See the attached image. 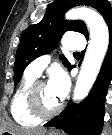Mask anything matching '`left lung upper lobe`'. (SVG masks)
<instances>
[{
    "label": "left lung upper lobe",
    "mask_w": 112,
    "mask_h": 135,
    "mask_svg": "<svg viewBox=\"0 0 112 135\" xmlns=\"http://www.w3.org/2000/svg\"><path fill=\"white\" fill-rule=\"evenodd\" d=\"M85 5L95 8L107 22L112 17V7L107 0H55L48 7L38 23L30 25L22 34L16 53L14 85H17L26 66L35 58L57 47L66 31H76L88 38L87 27L83 21H62L65 12L74 6ZM63 64L70 70L72 66L61 55Z\"/></svg>",
    "instance_id": "5c2ea615"
}]
</instances>
